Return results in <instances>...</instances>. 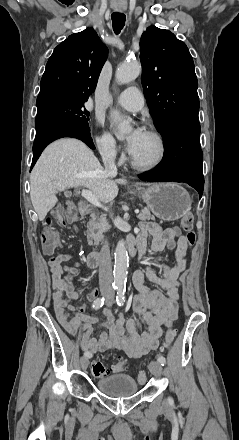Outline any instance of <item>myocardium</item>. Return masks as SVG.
<instances>
[{
	"label": "myocardium",
	"mask_w": 239,
	"mask_h": 440,
	"mask_svg": "<svg viewBox=\"0 0 239 440\" xmlns=\"http://www.w3.org/2000/svg\"><path fill=\"white\" fill-rule=\"evenodd\" d=\"M146 133L151 135L156 140L159 153L155 161L150 164H144L134 157L133 154H130V163L132 167L141 172H151L158 169L163 164L167 156V144L161 133L155 129H148Z\"/></svg>",
	"instance_id": "myocardium-1"
}]
</instances>
